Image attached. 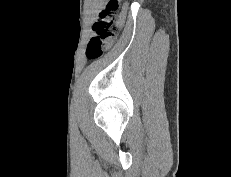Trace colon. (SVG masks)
I'll return each mask as SVG.
<instances>
[{"mask_svg":"<svg viewBox=\"0 0 231 177\" xmlns=\"http://www.w3.org/2000/svg\"><path fill=\"white\" fill-rule=\"evenodd\" d=\"M119 7V0H109L93 24L94 35L89 40L86 56L97 59L103 56L114 44L117 27L114 17Z\"/></svg>","mask_w":231,"mask_h":177,"instance_id":"1","label":"colon"}]
</instances>
